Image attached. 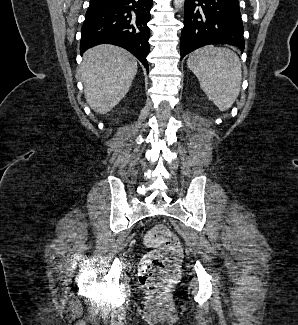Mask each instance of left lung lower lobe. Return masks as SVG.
<instances>
[{
  "label": "left lung lower lobe",
  "instance_id": "obj_1",
  "mask_svg": "<svg viewBox=\"0 0 298 325\" xmlns=\"http://www.w3.org/2000/svg\"><path fill=\"white\" fill-rule=\"evenodd\" d=\"M209 44H228L244 50L238 0H185L181 33V60Z\"/></svg>",
  "mask_w": 298,
  "mask_h": 325
}]
</instances>
